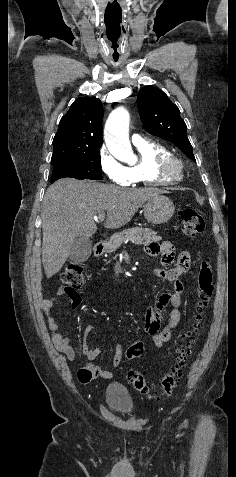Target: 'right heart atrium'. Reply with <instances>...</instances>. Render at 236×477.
Instances as JSON below:
<instances>
[{
    "label": "right heart atrium",
    "mask_w": 236,
    "mask_h": 477,
    "mask_svg": "<svg viewBox=\"0 0 236 477\" xmlns=\"http://www.w3.org/2000/svg\"><path fill=\"white\" fill-rule=\"evenodd\" d=\"M99 163L102 172L111 182L120 186H127L130 183L127 167L120 163L106 146L100 149Z\"/></svg>",
    "instance_id": "d8ad5b80"
}]
</instances>
